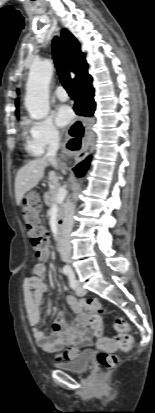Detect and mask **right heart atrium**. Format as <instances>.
Instances as JSON below:
<instances>
[{
    "label": "right heart atrium",
    "instance_id": "right-heart-atrium-1",
    "mask_svg": "<svg viewBox=\"0 0 155 413\" xmlns=\"http://www.w3.org/2000/svg\"><path fill=\"white\" fill-rule=\"evenodd\" d=\"M29 138L38 154L55 145L60 139V132L50 117L28 122Z\"/></svg>",
    "mask_w": 155,
    "mask_h": 413
}]
</instances>
